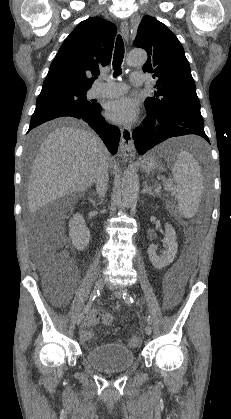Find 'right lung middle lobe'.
Instances as JSON below:
<instances>
[{"label": "right lung middle lobe", "mask_w": 231, "mask_h": 419, "mask_svg": "<svg viewBox=\"0 0 231 419\" xmlns=\"http://www.w3.org/2000/svg\"><path fill=\"white\" fill-rule=\"evenodd\" d=\"M86 89L65 85H50L42 87L36 106L64 105L74 108L90 109L95 104L86 99Z\"/></svg>", "instance_id": "obj_1"}]
</instances>
